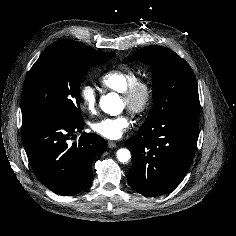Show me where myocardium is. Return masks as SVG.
Segmentation results:
<instances>
[{
    "label": "myocardium",
    "mask_w": 236,
    "mask_h": 236,
    "mask_svg": "<svg viewBox=\"0 0 236 236\" xmlns=\"http://www.w3.org/2000/svg\"><path fill=\"white\" fill-rule=\"evenodd\" d=\"M126 108L134 115L146 112L154 98L153 84L149 79H136L122 93Z\"/></svg>",
    "instance_id": "obj_1"
}]
</instances>
